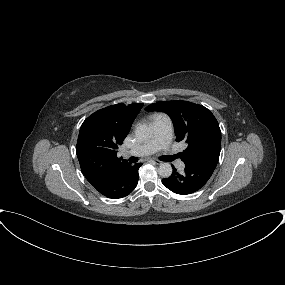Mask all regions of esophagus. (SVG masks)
I'll use <instances>...</instances> for the list:
<instances>
[{"mask_svg":"<svg viewBox=\"0 0 285 285\" xmlns=\"http://www.w3.org/2000/svg\"><path fill=\"white\" fill-rule=\"evenodd\" d=\"M152 162H154L155 164H157V165H160L162 162L161 161H159V160H151Z\"/></svg>","mask_w":285,"mask_h":285,"instance_id":"esophagus-1","label":"esophagus"}]
</instances>
